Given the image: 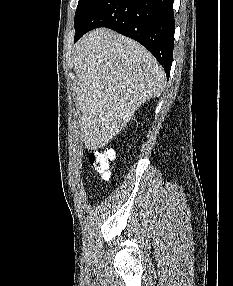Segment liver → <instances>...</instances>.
I'll return each instance as SVG.
<instances>
[{"label":"liver","mask_w":233,"mask_h":286,"mask_svg":"<svg viewBox=\"0 0 233 286\" xmlns=\"http://www.w3.org/2000/svg\"><path fill=\"white\" fill-rule=\"evenodd\" d=\"M77 104L87 149L107 144L135 111L163 91L166 76L153 55L136 41L105 28L75 45Z\"/></svg>","instance_id":"liver-1"}]
</instances>
